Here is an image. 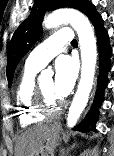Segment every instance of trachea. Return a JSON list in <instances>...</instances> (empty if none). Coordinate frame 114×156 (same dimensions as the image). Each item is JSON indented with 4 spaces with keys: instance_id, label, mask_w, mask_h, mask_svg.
<instances>
[{
    "instance_id": "3493384b",
    "label": "trachea",
    "mask_w": 114,
    "mask_h": 156,
    "mask_svg": "<svg viewBox=\"0 0 114 156\" xmlns=\"http://www.w3.org/2000/svg\"><path fill=\"white\" fill-rule=\"evenodd\" d=\"M71 43H72V44H77L76 39H73Z\"/></svg>"
}]
</instances>
